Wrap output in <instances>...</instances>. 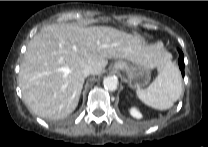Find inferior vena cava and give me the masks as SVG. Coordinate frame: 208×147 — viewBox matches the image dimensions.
<instances>
[{
  "label": "inferior vena cava",
  "instance_id": "602c4592",
  "mask_svg": "<svg viewBox=\"0 0 208 147\" xmlns=\"http://www.w3.org/2000/svg\"><path fill=\"white\" fill-rule=\"evenodd\" d=\"M93 67L92 66H85L83 69H82V74L84 77H87L89 76L90 74H93Z\"/></svg>",
  "mask_w": 208,
  "mask_h": 147
}]
</instances>
